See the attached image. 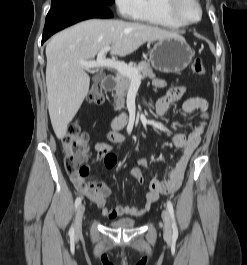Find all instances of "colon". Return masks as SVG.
I'll use <instances>...</instances> for the list:
<instances>
[{"mask_svg":"<svg viewBox=\"0 0 247 265\" xmlns=\"http://www.w3.org/2000/svg\"><path fill=\"white\" fill-rule=\"evenodd\" d=\"M192 69L198 75L205 74V67L200 58L193 61ZM88 100L95 104L101 103L103 101L102 89L99 86L92 87L88 94ZM88 139V134L81 131L77 122L69 125L62 139V148L65 169L70 175L83 177L88 175L89 167L84 165L88 154Z\"/></svg>","mask_w":247,"mask_h":265,"instance_id":"obj_1","label":"colon"}]
</instances>
